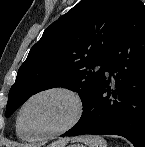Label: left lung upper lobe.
I'll return each mask as SVG.
<instances>
[{
  "instance_id": "left-lung-upper-lobe-1",
  "label": "left lung upper lobe",
  "mask_w": 145,
  "mask_h": 147,
  "mask_svg": "<svg viewBox=\"0 0 145 147\" xmlns=\"http://www.w3.org/2000/svg\"><path fill=\"white\" fill-rule=\"evenodd\" d=\"M130 2L81 0L52 23L18 70L9 91L6 117L30 96L54 87L78 92L84 113L104 76L105 61Z\"/></svg>"
}]
</instances>
